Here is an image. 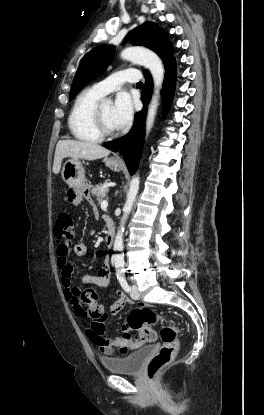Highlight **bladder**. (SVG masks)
I'll use <instances>...</instances> for the list:
<instances>
[{
    "label": "bladder",
    "mask_w": 264,
    "mask_h": 415,
    "mask_svg": "<svg viewBox=\"0 0 264 415\" xmlns=\"http://www.w3.org/2000/svg\"><path fill=\"white\" fill-rule=\"evenodd\" d=\"M154 351L155 345L150 344L126 356L103 358L102 364L108 372L138 374Z\"/></svg>",
    "instance_id": "31cf9c89"
}]
</instances>
